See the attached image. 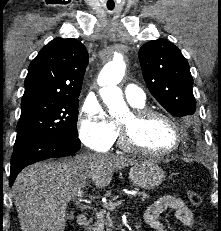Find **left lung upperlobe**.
I'll return each instance as SVG.
<instances>
[{
	"mask_svg": "<svg viewBox=\"0 0 221 231\" xmlns=\"http://www.w3.org/2000/svg\"><path fill=\"white\" fill-rule=\"evenodd\" d=\"M139 61L151 94L171 115L194 114L193 79L178 47L165 39L149 41L140 48Z\"/></svg>",
	"mask_w": 221,
	"mask_h": 231,
	"instance_id": "obj_1",
	"label": "left lung upper lobe"
}]
</instances>
